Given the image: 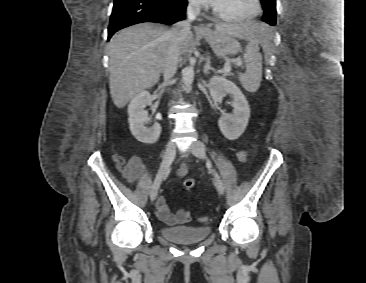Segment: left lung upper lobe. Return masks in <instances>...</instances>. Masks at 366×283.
I'll use <instances>...</instances> for the list:
<instances>
[{
	"label": "left lung upper lobe",
	"mask_w": 366,
	"mask_h": 283,
	"mask_svg": "<svg viewBox=\"0 0 366 283\" xmlns=\"http://www.w3.org/2000/svg\"><path fill=\"white\" fill-rule=\"evenodd\" d=\"M260 1L264 9V15L262 20L274 26L276 24V0H260Z\"/></svg>",
	"instance_id": "left-lung-upper-lobe-1"
}]
</instances>
